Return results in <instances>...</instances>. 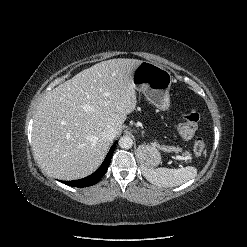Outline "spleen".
Segmentation results:
<instances>
[{
    "instance_id": "spleen-1",
    "label": "spleen",
    "mask_w": 247,
    "mask_h": 247,
    "mask_svg": "<svg viewBox=\"0 0 247 247\" xmlns=\"http://www.w3.org/2000/svg\"><path fill=\"white\" fill-rule=\"evenodd\" d=\"M145 177L153 184L160 187H175L197 176V169L187 166L178 169L144 168Z\"/></svg>"
}]
</instances>
